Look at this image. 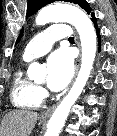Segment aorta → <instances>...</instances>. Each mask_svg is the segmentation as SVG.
Wrapping results in <instances>:
<instances>
[{
    "instance_id": "aorta-1",
    "label": "aorta",
    "mask_w": 117,
    "mask_h": 136,
    "mask_svg": "<svg viewBox=\"0 0 117 136\" xmlns=\"http://www.w3.org/2000/svg\"><path fill=\"white\" fill-rule=\"evenodd\" d=\"M35 22L37 25L68 22L77 29L80 36L82 56L79 73L69 93L52 114L45 134V136H59L70 109L81 95L93 68L97 50L96 31L92 21L82 10L66 4L49 5L43 8L38 13ZM44 70L42 65L33 62L29 65L27 73L30 78H35Z\"/></svg>"
}]
</instances>
